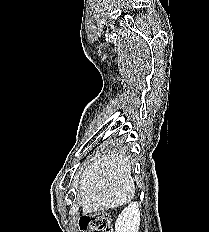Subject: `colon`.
Segmentation results:
<instances>
[{
    "instance_id": "1",
    "label": "colon",
    "mask_w": 209,
    "mask_h": 232,
    "mask_svg": "<svg viewBox=\"0 0 209 232\" xmlns=\"http://www.w3.org/2000/svg\"><path fill=\"white\" fill-rule=\"evenodd\" d=\"M79 228L87 232H114L112 217L107 211H96L80 217Z\"/></svg>"
}]
</instances>
